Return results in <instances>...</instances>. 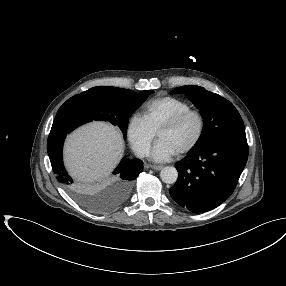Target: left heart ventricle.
Returning <instances> with one entry per match:
<instances>
[{"instance_id":"obj_1","label":"left heart ventricle","mask_w":286,"mask_h":286,"mask_svg":"<svg viewBox=\"0 0 286 286\" xmlns=\"http://www.w3.org/2000/svg\"><path fill=\"white\" fill-rule=\"evenodd\" d=\"M198 127L197 118L191 116L177 127L160 132L158 138L167 141L179 152L195 138Z\"/></svg>"}]
</instances>
